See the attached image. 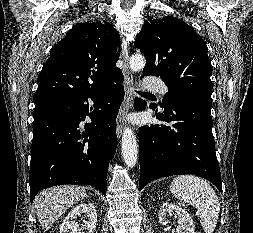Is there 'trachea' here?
<instances>
[{
	"label": "trachea",
	"mask_w": 253,
	"mask_h": 233,
	"mask_svg": "<svg viewBox=\"0 0 253 233\" xmlns=\"http://www.w3.org/2000/svg\"><path fill=\"white\" fill-rule=\"evenodd\" d=\"M140 95H147L148 93L145 92H139Z\"/></svg>",
	"instance_id": "3493384b"
}]
</instances>
